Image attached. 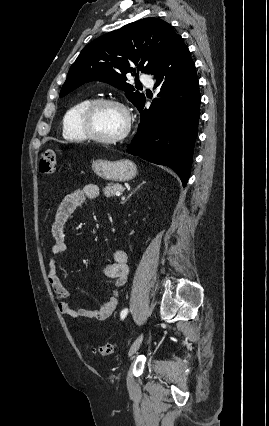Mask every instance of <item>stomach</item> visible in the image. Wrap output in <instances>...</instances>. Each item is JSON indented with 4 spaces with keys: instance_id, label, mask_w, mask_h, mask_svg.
Wrapping results in <instances>:
<instances>
[{
    "instance_id": "obj_1",
    "label": "stomach",
    "mask_w": 269,
    "mask_h": 426,
    "mask_svg": "<svg viewBox=\"0 0 269 426\" xmlns=\"http://www.w3.org/2000/svg\"><path fill=\"white\" fill-rule=\"evenodd\" d=\"M92 169L97 176L110 181H128L137 174L135 163L128 159L116 161L97 159L93 161Z\"/></svg>"
}]
</instances>
